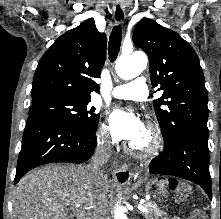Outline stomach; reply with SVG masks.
<instances>
[{
  "instance_id": "0dacf381",
  "label": "stomach",
  "mask_w": 221,
  "mask_h": 219,
  "mask_svg": "<svg viewBox=\"0 0 221 219\" xmlns=\"http://www.w3.org/2000/svg\"><path fill=\"white\" fill-rule=\"evenodd\" d=\"M177 178H152L150 182L145 185L147 195H151L152 199H173L172 186H167V183H177Z\"/></svg>"
}]
</instances>
